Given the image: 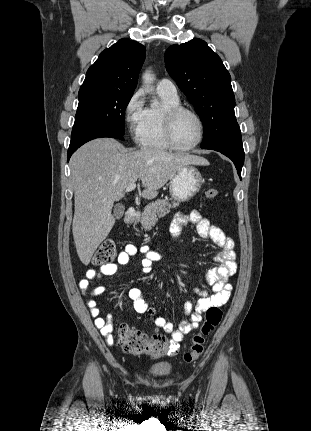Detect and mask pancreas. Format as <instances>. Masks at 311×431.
I'll return each mask as SVG.
<instances>
[{"instance_id":"pancreas-1","label":"pancreas","mask_w":311,"mask_h":431,"mask_svg":"<svg viewBox=\"0 0 311 431\" xmlns=\"http://www.w3.org/2000/svg\"><path fill=\"white\" fill-rule=\"evenodd\" d=\"M177 206H180V204L176 200H173V202H170V200H155L152 204H147L141 214V223L144 229H152V225H155L158 217L166 216L171 208H177Z\"/></svg>"}]
</instances>
